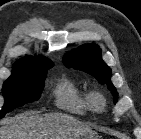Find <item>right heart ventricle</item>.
Returning <instances> with one entry per match:
<instances>
[{
	"instance_id": "obj_1",
	"label": "right heart ventricle",
	"mask_w": 141,
	"mask_h": 139,
	"mask_svg": "<svg viewBox=\"0 0 141 139\" xmlns=\"http://www.w3.org/2000/svg\"><path fill=\"white\" fill-rule=\"evenodd\" d=\"M53 96L56 106L70 113L86 115L96 111L94 94L83 89L71 79L58 80L53 88Z\"/></svg>"
}]
</instances>
